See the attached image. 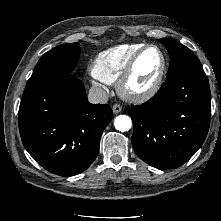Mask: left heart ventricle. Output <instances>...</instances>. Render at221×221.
Masks as SVG:
<instances>
[{
  "label": "left heart ventricle",
  "instance_id": "1",
  "mask_svg": "<svg viewBox=\"0 0 221 221\" xmlns=\"http://www.w3.org/2000/svg\"><path fill=\"white\" fill-rule=\"evenodd\" d=\"M160 65V53L154 48L146 50L135 67L129 88L136 91L146 89L156 77Z\"/></svg>",
  "mask_w": 221,
  "mask_h": 221
}]
</instances>
